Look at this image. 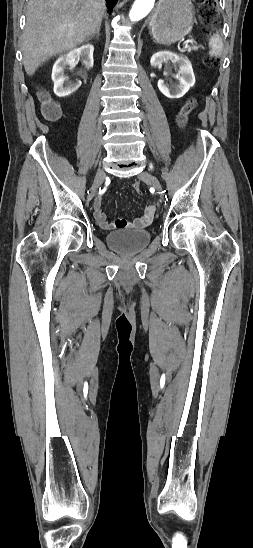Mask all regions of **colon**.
<instances>
[{"mask_svg": "<svg viewBox=\"0 0 253 548\" xmlns=\"http://www.w3.org/2000/svg\"><path fill=\"white\" fill-rule=\"evenodd\" d=\"M217 15V3L216 0H199V16L201 20L209 25L211 24ZM218 60L214 56H208L205 59L207 66L217 65ZM40 98L43 103V114L48 119H55L59 116V107L51 100L46 92L40 93ZM196 106V101L190 99L180 110L177 116V121L180 126H184L188 115L193 111ZM137 194H142V189L139 183L133 185Z\"/></svg>", "mask_w": 253, "mask_h": 548, "instance_id": "1", "label": "colon"}]
</instances>
